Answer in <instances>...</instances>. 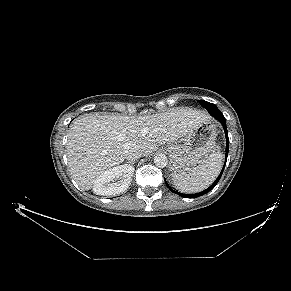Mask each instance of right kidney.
Returning <instances> with one entry per match:
<instances>
[{"instance_id":"ca27d5eb","label":"right kidney","mask_w":291,"mask_h":291,"mask_svg":"<svg viewBox=\"0 0 291 291\" xmlns=\"http://www.w3.org/2000/svg\"><path fill=\"white\" fill-rule=\"evenodd\" d=\"M134 167L124 164L102 173L95 181L93 191L97 195H115L124 192L130 185Z\"/></svg>"}]
</instances>
